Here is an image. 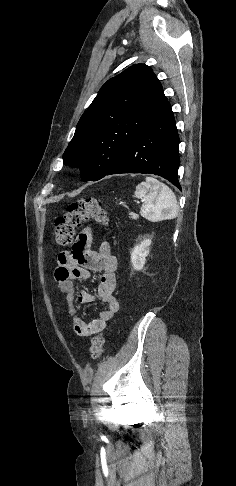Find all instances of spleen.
<instances>
[{
	"instance_id": "3e777b00",
	"label": "spleen",
	"mask_w": 236,
	"mask_h": 486,
	"mask_svg": "<svg viewBox=\"0 0 236 486\" xmlns=\"http://www.w3.org/2000/svg\"><path fill=\"white\" fill-rule=\"evenodd\" d=\"M135 196L144 201L140 214L152 222L174 219L178 215L174 192L153 177H146L145 182L137 185Z\"/></svg>"
}]
</instances>
